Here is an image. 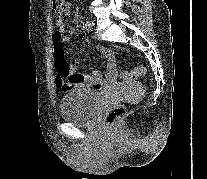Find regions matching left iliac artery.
<instances>
[{"label":"left iliac artery","instance_id":"1","mask_svg":"<svg viewBox=\"0 0 207 179\" xmlns=\"http://www.w3.org/2000/svg\"><path fill=\"white\" fill-rule=\"evenodd\" d=\"M87 25H88V27H89L90 23H89V22H87Z\"/></svg>","mask_w":207,"mask_h":179}]
</instances>
